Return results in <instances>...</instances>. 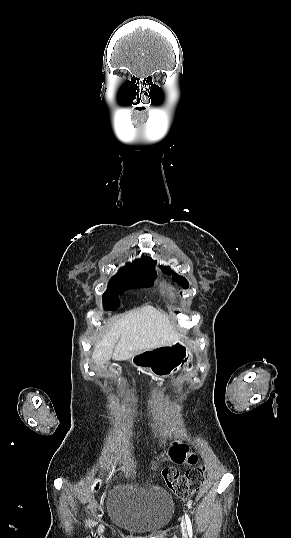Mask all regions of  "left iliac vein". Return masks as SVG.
Wrapping results in <instances>:
<instances>
[{"mask_svg":"<svg viewBox=\"0 0 291 538\" xmlns=\"http://www.w3.org/2000/svg\"><path fill=\"white\" fill-rule=\"evenodd\" d=\"M181 530L183 532V535L186 536V526H185L184 522L181 523Z\"/></svg>","mask_w":291,"mask_h":538,"instance_id":"obj_1","label":"left iliac vein"}]
</instances>
